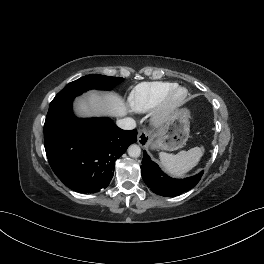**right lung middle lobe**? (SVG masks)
Listing matches in <instances>:
<instances>
[{
  "mask_svg": "<svg viewBox=\"0 0 264 264\" xmlns=\"http://www.w3.org/2000/svg\"><path fill=\"white\" fill-rule=\"evenodd\" d=\"M123 81V78L109 77L99 74L87 75L79 78L62 89L52 100L48 114L58 110L63 104L72 101L76 96L90 89L111 90Z\"/></svg>",
  "mask_w": 264,
  "mask_h": 264,
  "instance_id": "dd1d6c3e",
  "label": "right lung middle lobe"
}]
</instances>
